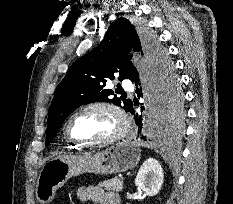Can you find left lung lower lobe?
Here are the masks:
<instances>
[{"label":"left lung lower lobe","mask_w":233,"mask_h":204,"mask_svg":"<svg viewBox=\"0 0 233 204\" xmlns=\"http://www.w3.org/2000/svg\"><path fill=\"white\" fill-rule=\"evenodd\" d=\"M130 80L135 83V85L137 87V93H140L141 89H139V87H140L141 83H140V76H139V73L137 70L134 71ZM138 97H142V94H138ZM136 105L138 106V103L132 102V105L128 108L127 111L134 115L135 122H136L137 126L139 127L138 136H140V138L144 139L145 137L142 135V132H141L142 126H143V118H142V115H138L135 112L134 106H136ZM141 109L144 110V107L142 106ZM178 130L179 129H176L170 123H167V121H165V119L163 118V115H162V119H161V123H160V127H159V132L155 136V139L158 141L167 140L169 137L168 134L175 133Z\"/></svg>","instance_id":"left-lung-lower-lobe-1"}]
</instances>
